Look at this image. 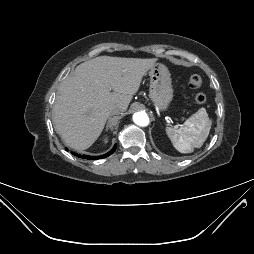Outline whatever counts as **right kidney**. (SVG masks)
I'll return each mask as SVG.
<instances>
[{"label":"right kidney","mask_w":254,"mask_h":254,"mask_svg":"<svg viewBox=\"0 0 254 254\" xmlns=\"http://www.w3.org/2000/svg\"><path fill=\"white\" fill-rule=\"evenodd\" d=\"M108 142V138H104V143H107Z\"/></svg>","instance_id":"obj_1"}]
</instances>
